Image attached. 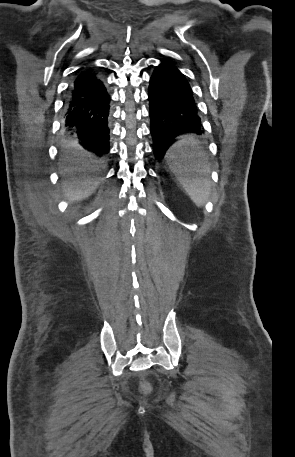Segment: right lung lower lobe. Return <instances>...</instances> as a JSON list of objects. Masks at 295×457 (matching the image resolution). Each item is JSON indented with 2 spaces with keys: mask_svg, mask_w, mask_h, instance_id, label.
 Segmentation results:
<instances>
[{
  "mask_svg": "<svg viewBox=\"0 0 295 457\" xmlns=\"http://www.w3.org/2000/svg\"><path fill=\"white\" fill-rule=\"evenodd\" d=\"M109 94L92 67L77 72L65 102V125L77 127L80 144L97 156L109 152Z\"/></svg>",
  "mask_w": 295,
  "mask_h": 457,
  "instance_id": "right-lung-lower-lobe-1",
  "label": "right lung lower lobe"
}]
</instances>
